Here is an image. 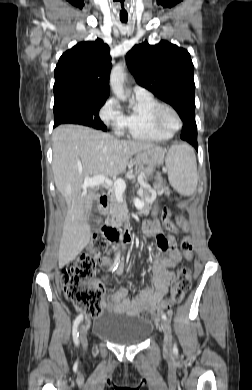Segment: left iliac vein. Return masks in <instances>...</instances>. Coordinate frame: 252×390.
<instances>
[{"label": "left iliac vein", "instance_id": "left-iliac-vein-1", "mask_svg": "<svg viewBox=\"0 0 252 390\" xmlns=\"http://www.w3.org/2000/svg\"><path fill=\"white\" fill-rule=\"evenodd\" d=\"M160 328L164 334V351L170 352L172 349V330L168 321L162 320L160 322Z\"/></svg>", "mask_w": 252, "mask_h": 390}]
</instances>
